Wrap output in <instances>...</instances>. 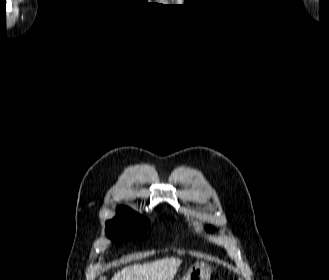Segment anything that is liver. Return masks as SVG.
Returning <instances> with one entry per match:
<instances>
[{
    "instance_id": "obj_1",
    "label": "liver",
    "mask_w": 329,
    "mask_h": 280,
    "mask_svg": "<svg viewBox=\"0 0 329 280\" xmlns=\"http://www.w3.org/2000/svg\"><path fill=\"white\" fill-rule=\"evenodd\" d=\"M182 261L163 258L144 264H133L114 274L111 280H173Z\"/></svg>"
}]
</instances>
